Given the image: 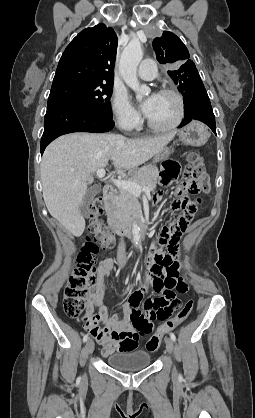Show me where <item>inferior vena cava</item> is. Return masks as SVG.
Returning <instances> with one entry per match:
<instances>
[{"label": "inferior vena cava", "mask_w": 255, "mask_h": 418, "mask_svg": "<svg viewBox=\"0 0 255 418\" xmlns=\"http://www.w3.org/2000/svg\"><path fill=\"white\" fill-rule=\"evenodd\" d=\"M125 243L123 238L119 242L118 250H117V259L119 261H124L126 259V249H125Z\"/></svg>", "instance_id": "602c4592"}]
</instances>
